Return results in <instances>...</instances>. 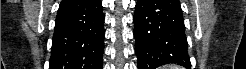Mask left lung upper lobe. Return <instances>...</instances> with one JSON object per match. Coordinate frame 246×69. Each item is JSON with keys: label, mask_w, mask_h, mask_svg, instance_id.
Listing matches in <instances>:
<instances>
[{"label": "left lung upper lobe", "mask_w": 246, "mask_h": 69, "mask_svg": "<svg viewBox=\"0 0 246 69\" xmlns=\"http://www.w3.org/2000/svg\"><path fill=\"white\" fill-rule=\"evenodd\" d=\"M170 3H171V5H173L175 8H177L178 10H180V11H182L181 10V7H180V3H179V1L178 0H168Z\"/></svg>", "instance_id": "left-lung-upper-lobe-1"}]
</instances>
